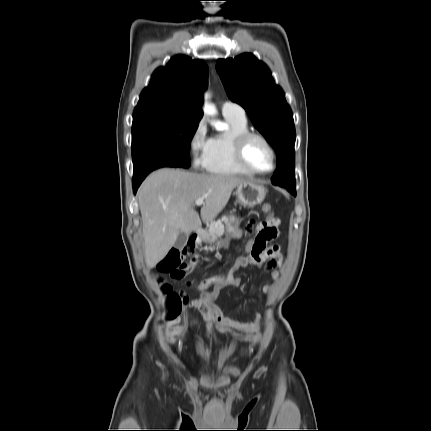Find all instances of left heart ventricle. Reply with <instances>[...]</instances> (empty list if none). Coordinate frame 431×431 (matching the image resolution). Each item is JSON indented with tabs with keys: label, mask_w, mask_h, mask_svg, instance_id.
<instances>
[{
	"label": "left heart ventricle",
	"mask_w": 431,
	"mask_h": 431,
	"mask_svg": "<svg viewBox=\"0 0 431 431\" xmlns=\"http://www.w3.org/2000/svg\"><path fill=\"white\" fill-rule=\"evenodd\" d=\"M245 159L254 169L265 171L272 166V156L267 146L259 139L250 140L245 148Z\"/></svg>",
	"instance_id": "b2bd125f"
}]
</instances>
